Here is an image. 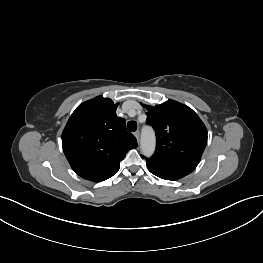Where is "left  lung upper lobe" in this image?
I'll return each instance as SVG.
<instances>
[{
	"instance_id": "1",
	"label": "left lung upper lobe",
	"mask_w": 263,
	"mask_h": 263,
	"mask_svg": "<svg viewBox=\"0 0 263 263\" xmlns=\"http://www.w3.org/2000/svg\"><path fill=\"white\" fill-rule=\"evenodd\" d=\"M147 123L156 132V151L146 159L148 170L165 180H177L198 165L207 144V130L188 106L169 100L155 107L145 105Z\"/></svg>"
}]
</instances>
